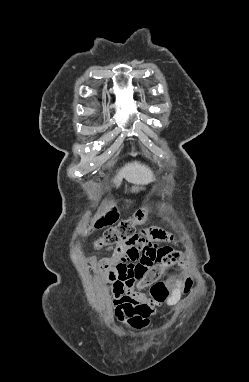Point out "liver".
<instances>
[{"mask_svg": "<svg viewBox=\"0 0 249 382\" xmlns=\"http://www.w3.org/2000/svg\"><path fill=\"white\" fill-rule=\"evenodd\" d=\"M122 178L137 186L146 185L154 180L151 169L137 161L128 163L119 170L117 176L114 178L116 186L119 185Z\"/></svg>", "mask_w": 249, "mask_h": 382, "instance_id": "1", "label": "liver"}]
</instances>
